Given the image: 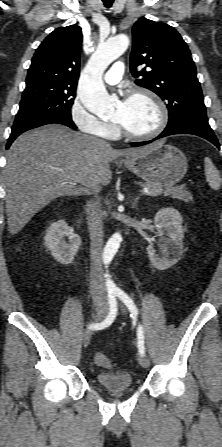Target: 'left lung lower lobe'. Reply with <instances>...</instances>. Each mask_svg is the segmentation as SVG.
I'll use <instances>...</instances> for the list:
<instances>
[{"mask_svg":"<svg viewBox=\"0 0 222 447\" xmlns=\"http://www.w3.org/2000/svg\"><path fill=\"white\" fill-rule=\"evenodd\" d=\"M174 134H193L200 136L202 138L207 139L208 141L212 142L218 149H220V144L213 133L212 129L209 127H204L196 122L190 121V120H179L173 124H170L166 127V129L155 139L145 142H138V143H132L133 147H138L142 145H146L148 143H151L159 138H163L169 135Z\"/></svg>","mask_w":222,"mask_h":447,"instance_id":"0a47b994","label":"left lung lower lobe"}]
</instances>
